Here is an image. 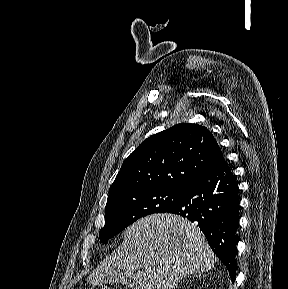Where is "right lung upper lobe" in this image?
<instances>
[{
	"label": "right lung upper lobe",
	"instance_id": "1",
	"mask_svg": "<svg viewBox=\"0 0 288 289\" xmlns=\"http://www.w3.org/2000/svg\"><path fill=\"white\" fill-rule=\"evenodd\" d=\"M222 159L223 153L206 127L177 124L143 141L125 159L109 196L134 189L186 188Z\"/></svg>",
	"mask_w": 288,
	"mask_h": 289
}]
</instances>
